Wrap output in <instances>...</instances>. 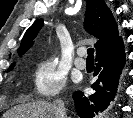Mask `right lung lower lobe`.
I'll use <instances>...</instances> for the list:
<instances>
[{"instance_id":"98d812e1","label":"right lung lower lobe","mask_w":133,"mask_h":118,"mask_svg":"<svg viewBox=\"0 0 133 118\" xmlns=\"http://www.w3.org/2000/svg\"><path fill=\"white\" fill-rule=\"evenodd\" d=\"M96 61L94 75H98V79L92 85L95 92L90 96H84L81 91L73 94L76 110L81 118H92L94 113L104 111L114 100L126 62L122 38L97 52Z\"/></svg>"}]
</instances>
